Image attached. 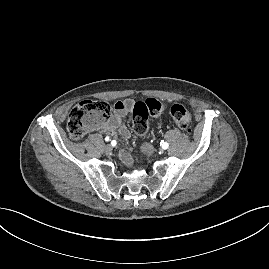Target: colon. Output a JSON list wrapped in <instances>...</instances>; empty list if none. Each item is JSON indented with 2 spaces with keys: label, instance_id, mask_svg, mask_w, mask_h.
Masks as SVG:
<instances>
[{
  "label": "colon",
  "instance_id": "colon-1",
  "mask_svg": "<svg viewBox=\"0 0 269 269\" xmlns=\"http://www.w3.org/2000/svg\"><path fill=\"white\" fill-rule=\"evenodd\" d=\"M163 106L156 99H147L136 102L133 106V130L143 136L149 127V116L162 112ZM170 114L175 123L183 130L191 132L192 116L182 105L175 104L170 109ZM110 115V106L104 101L85 100L76 104L70 111L67 121V131L70 138L81 139L89 131L102 126Z\"/></svg>",
  "mask_w": 269,
  "mask_h": 269
}]
</instances>
